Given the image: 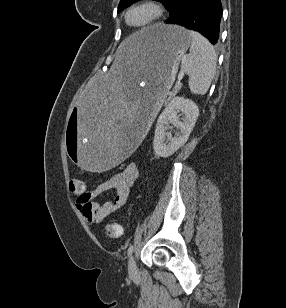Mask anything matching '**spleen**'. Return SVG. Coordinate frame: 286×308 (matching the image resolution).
Masks as SVG:
<instances>
[{
  "label": "spleen",
  "mask_w": 286,
  "mask_h": 308,
  "mask_svg": "<svg viewBox=\"0 0 286 308\" xmlns=\"http://www.w3.org/2000/svg\"><path fill=\"white\" fill-rule=\"evenodd\" d=\"M191 37L190 52L184 61L190 91L195 95L207 93L216 71L217 56L214 47L200 33L188 31Z\"/></svg>",
  "instance_id": "spleen-1"
}]
</instances>
